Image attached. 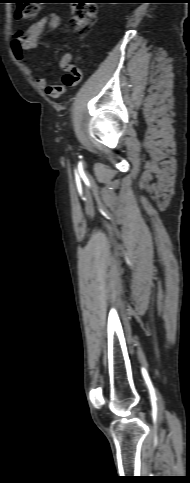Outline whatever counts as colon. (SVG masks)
Here are the masks:
<instances>
[{
  "label": "colon",
  "instance_id": "colon-1",
  "mask_svg": "<svg viewBox=\"0 0 190 483\" xmlns=\"http://www.w3.org/2000/svg\"><path fill=\"white\" fill-rule=\"evenodd\" d=\"M15 16L18 19H31L35 17L39 9V0H18ZM72 17L68 22V26L74 31H88L92 28L96 21V7L94 4L85 1H76L72 4ZM75 78L70 73L65 74L61 79L59 88L70 86L74 83Z\"/></svg>",
  "mask_w": 190,
  "mask_h": 483
}]
</instances>
